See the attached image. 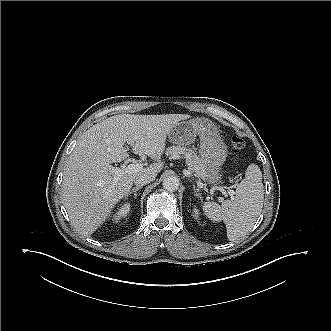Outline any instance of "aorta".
Returning <instances> with one entry per match:
<instances>
[{
    "mask_svg": "<svg viewBox=\"0 0 331 331\" xmlns=\"http://www.w3.org/2000/svg\"><path fill=\"white\" fill-rule=\"evenodd\" d=\"M163 188L169 192H174L179 188V180L176 177L169 176L164 179Z\"/></svg>",
    "mask_w": 331,
    "mask_h": 331,
    "instance_id": "aorta-1",
    "label": "aorta"
}]
</instances>
